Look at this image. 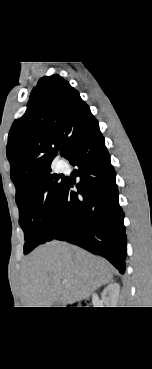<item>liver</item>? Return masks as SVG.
Instances as JSON below:
<instances>
[{"instance_id": "1", "label": "liver", "mask_w": 152, "mask_h": 369, "mask_svg": "<svg viewBox=\"0 0 152 369\" xmlns=\"http://www.w3.org/2000/svg\"><path fill=\"white\" fill-rule=\"evenodd\" d=\"M112 279L102 258L69 245L52 241L36 248L24 262L22 300L24 307H53L56 302L72 305Z\"/></svg>"}]
</instances>
